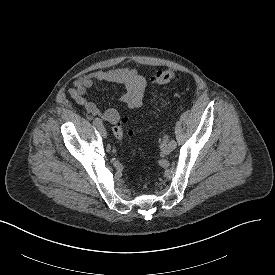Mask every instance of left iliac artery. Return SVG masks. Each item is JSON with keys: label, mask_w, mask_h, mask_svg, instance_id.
<instances>
[{"label": "left iliac artery", "mask_w": 275, "mask_h": 275, "mask_svg": "<svg viewBox=\"0 0 275 275\" xmlns=\"http://www.w3.org/2000/svg\"><path fill=\"white\" fill-rule=\"evenodd\" d=\"M170 144L172 145L173 149L176 147V142H175V140L172 139V140L170 141Z\"/></svg>", "instance_id": "obj_1"}]
</instances>
